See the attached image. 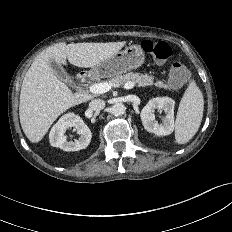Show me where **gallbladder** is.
Returning a JSON list of instances; mask_svg holds the SVG:
<instances>
[{
  "label": "gallbladder",
  "instance_id": "gallbladder-1",
  "mask_svg": "<svg viewBox=\"0 0 232 232\" xmlns=\"http://www.w3.org/2000/svg\"><path fill=\"white\" fill-rule=\"evenodd\" d=\"M49 65L52 69V71L54 72V74L63 82L67 83V84H71V78L70 76H68L67 72L65 71V69L63 68V66L61 65V63L57 62L56 60H50L49 61Z\"/></svg>",
  "mask_w": 232,
  "mask_h": 232
}]
</instances>
